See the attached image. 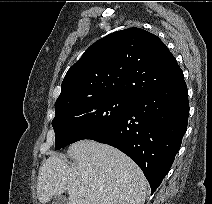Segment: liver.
<instances>
[{
	"mask_svg": "<svg viewBox=\"0 0 212 204\" xmlns=\"http://www.w3.org/2000/svg\"><path fill=\"white\" fill-rule=\"evenodd\" d=\"M67 155L75 165L52 154L40 167V203L67 192L68 204H144L148 182L136 163L118 149L81 140L70 145ZM80 187L85 188L81 193Z\"/></svg>",
	"mask_w": 212,
	"mask_h": 204,
	"instance_id": "1",
	"label": "liver"
}]
</instances>
